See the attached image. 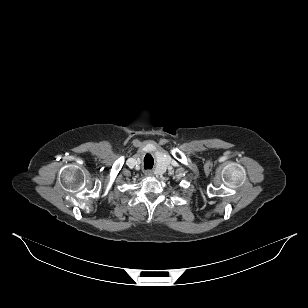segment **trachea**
Listing matches in <instances>:
<instances>
[{
    "label": "trachea",
    "instance_id": "1",
    "mask_svg": "<svg viewBox=\"0 0 308 308\" xmlns=\"http://www.w3.org/2000/svg\"><path fill=\"white\" fill-rule=\"evenodd\" d=\"M154 160L150 155H146L144 158V168L145 169H151L153 167Z\"/></svg>",
    "mask_w": 308,
    "mask_h": 308
}]
</instances>
